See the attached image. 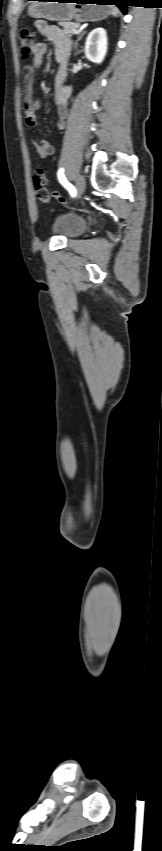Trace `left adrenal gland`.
<instances>
[{
	"mask_svg": "<svg viewBox=\"0 0 162 851\" xmlns=\"http://www.w3.org/2000/svg\"><path fill=\"white\" fill-rule=\"evenodd\" d=\"M85 33H86V31H83V32L80 34V36L78 37L77 41L75 42V45H74V49H75V50H77V42H78V41H79V40L83 37V35H84ZM76 54H77V52H76Z\"/></svg>",
	"mask_w": 162,
	"mask_h": 851,
	"instance_id": "obj_1",
	"label": "left adrenal gland"
}]
</instances>
